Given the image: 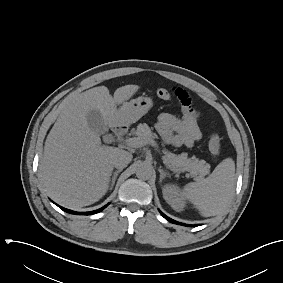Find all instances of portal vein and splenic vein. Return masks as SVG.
<instances>
[{
	"label": "portal vein and splenic vein",
	"mask_w": 283,
	"mask_h": 283,
	"mask_svg": "<svg viewBox=\"0 0 283 283\" xmlns=\"http://www.w3.org/2000/svg\"><path fill=\"white\" fill-rule=\"evenodd\" d=\"M126 144L130 147L138 148L141 146H144L146 144H151L152 146L156 147L158 149V145L154 140H140L138 138H129L126 139Z\"/></svg>",
	"instance_id": "1"
}]
</instances>
